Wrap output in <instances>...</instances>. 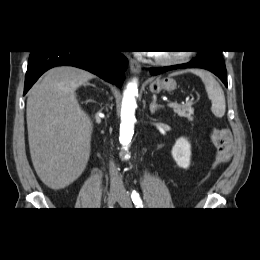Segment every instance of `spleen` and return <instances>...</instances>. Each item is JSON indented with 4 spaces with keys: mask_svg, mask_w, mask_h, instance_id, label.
Here are the masks:
<instances>
[{
    "mask_svg": "<svg viewBox=\"0 0 260 260\" xmlns=\"http://www.w3.org/2000/svg\"><path fill=\"white\" fill-rule=\"evenodd\" d=\"M190 71L199 76L204 83L208 98L211 100L212 103V113L218 118L223 117L226 110V103L223 90L219 83L209 72L200 69H193ZM180 73L181 72H175L171 74V76H175Z\"/></svg>",
    "mask_w": 260,
    "mask_h": 260,
    "instance_id": "spleen-1",
    "label": "spleen"
}]
</instances>
